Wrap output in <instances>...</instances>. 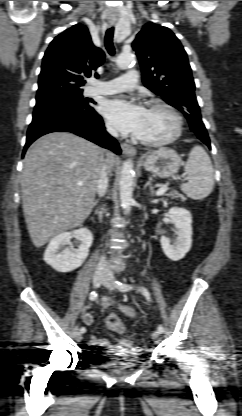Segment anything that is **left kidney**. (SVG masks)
<instances>
[{"instance_id":"5707ae66","label":"left kidney","mask_w":242,"mask_h":416,"mask_svg":"<svg viewBox=\"0 0 242 416\" xmlns=\"http://www.w3.org/2000/svg\"><path fill=\"white\" fill-rule=\"evenodd\" d=\"M169 218L175 226L177 238L171 241L162 236L160 243L165 255L172 261L181 260L190 251L192 245V216L181 207H172L168 211Z\"/></svg>"}]
</instances>
